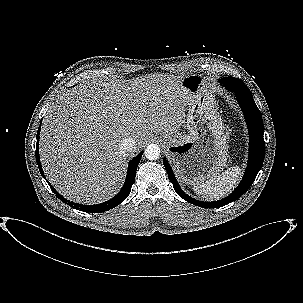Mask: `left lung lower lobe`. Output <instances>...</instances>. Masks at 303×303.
Instances as JSON below:
<instances>
[{"instance_id":"0a47b994","label":"left lung lower lobe","mask_w":303,"mask_h":303,"mask_svg":"<svg viewBox=\"0 0 303 303\" xmlns=\"http://www.w3.org/2000/svg\"><path fill=\"white\" fill-rule=\"evenodd\" d=\"M221 84L229 91L234 92L237 101L243 111L248 130H249V157L248 164L239 186L229 196L215 202H203L196 200L185 194L180 188L173 171L166 160L163 159V164L168 173V178L173 184L176 193L189 203L204 207L218 208L225 206L239 197H241L254 182L259 170L261 169L265 155V142L263 138L264 125L261 112L256 106L252 93H248L238 78H226L221 81Z\"/></svg>"}]
</instances>
